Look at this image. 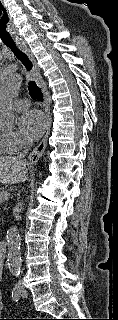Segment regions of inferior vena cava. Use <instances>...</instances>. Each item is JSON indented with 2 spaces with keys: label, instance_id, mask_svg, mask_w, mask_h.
<instances>
[{
  "label": "inferior vena cava",
  "instance_id": "inferior-vena-cava-1",
  "mask_svg": "<svg viewBox=\"0 0 118 320\" xmlns=\"http://www.w3.org/2000/svg\"><path fill=\"white\" fill-rule=\"evenodd\" d=\"M28 151H29L28 147L25 146L23 152H21V153L17 156V158H18L20 161H23V158L26 156V154L28 153ZM19 206H20V207L22 206V203H21V202L19 203Z\"/></svg>",
  "mask_w": 118,
  "mask_h": 320
}]
</instances>
